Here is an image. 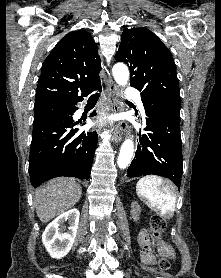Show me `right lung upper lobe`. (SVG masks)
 Returning a JSON list of instances; mask_svg holds the SVG:
<instances>
[{"instance_id": "obj_1", "label": "right lung upper lobe", "mask_w": 221, "mask_h": 278, "mask_svg": "<svg viewBox=\"0 0 221 278\" xmlns=\"http://www.w3.org/2000/svg\"><path fill=\"white\" fill-rule=\"evenodd\" d=\"M101 60L92 36L78 30L68 33L42 65L35 105L74 99L101 85Z\"/></svg>"}]
</instances>
